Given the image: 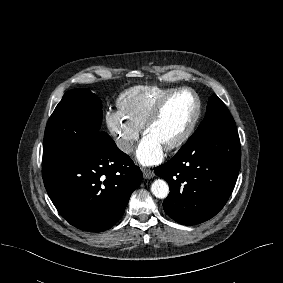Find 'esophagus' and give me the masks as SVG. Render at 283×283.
Returning <instances> with one entry per match:
<instances>
[{
	"label": "esophagus",
	"instance_id": "34e87169",
	"mask_svg": "<svg viewBox=\"0 0 283 283\" xmlns=\"http://www.w3.org/2000/svg\"><path fill=\"white\" fill-rule=\"evenodd\" d=\"M143 176L146 179H151L155 176L154 172L151 169H143Z\"/></svg>",
	"mask_w": 283,
	"mask_h": 283
}]
</instances>
